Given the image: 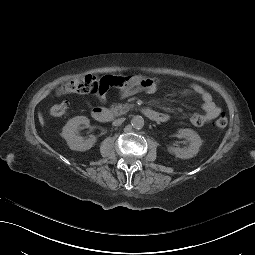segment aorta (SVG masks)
Returning a JSON list of instances; mask_svg holds the SVG:
<instances>
[{
	"label": "aorta",
	"instance_id": "762f6f07",
	"mask_svg": "<svg viewBox=\"0 0 255 255\" xmlns=\"http://www.w3.org/2000/svg\"><path fill=\"white\" fill-rule=\"evenodd\" d=\"M131 124L135 129H141L144 126V119L142 116H134L131 120Z\"/></svg>",
	"mask_w": 255,
	"mask_h": 255
}]
</instances>
